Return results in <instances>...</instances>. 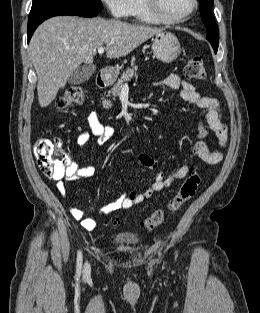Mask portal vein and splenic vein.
<instances>
[{"instance_id": "portal-vein-and-splenic-vein-1", "label": "portal vein and splenic vein", "mask_w": 260, "mask_h": 313, "mask_svg": "<svg viewBox=\"0 0 260 313\" xmlns=\"http://www.w3.org/2000/svg\"><path fill=\"white\" fill-rule=\"evenodd\" d=\"M98 53H99V54H103V53H104V47H99V48H98ZM123 88H128V84L125 83L124 86H123Z\"/></svg>"}]
</instances>
